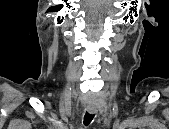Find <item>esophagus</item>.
<instances>
[{
    "instance_id": "esophagus-1",
    "label": "esophagus",
    "mask_w": 169,
    "mask_h": 129,
    "mask_svg": "<svg viewBox=\"0 0 169 129\" xmlns=\"http://www.w3.org/2000/svg\"><path fill=\"white\" fill-rule=\"evenodd\" d=\"M86 110H87L89 113H91V114L96 113L95 108H94V107H92V106H87V107H86Z\"/></svg>"
}]
</instances>
